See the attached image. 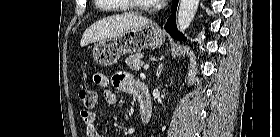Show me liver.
Instances as JSON below:
<instances>
[{"mask_svg": "<svg viewBox=\"0 0 280 137\" xmlns=\"http://www.w3.org/2000/svg\"><path fill=\"white\" fill-rule=\"evenodd\" d=\"M152 24L146 17L134 13H124L103 18L89 26L83 33L81 47L95 41L107 40L126 31Z\"/></svg>", "mask_w": 280, "mask_h": 137, "instance_id": "6515ba94", "label": "liver"}]
</instances>
